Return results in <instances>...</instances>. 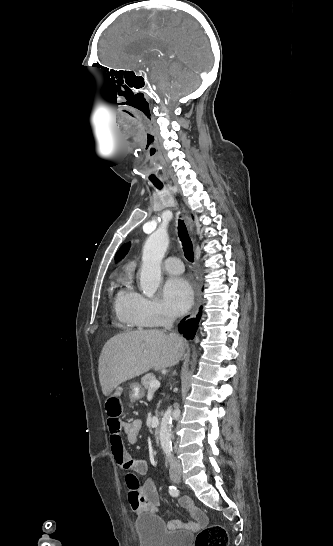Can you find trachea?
I'll return each mask as SVG.
<instances>
[{
  "instance_id": "trachea-1",
  "label": "trachea",
  "mask_w": 333,
  "mask_h": 546,
  "mask_svg": "<svg viewBox=\"0 0 333 546\" xmlns=\"http://www.w3.org/2000/svg\"><path fill=\"white\" fill-rule=\"evenodd\" d=\"M154 186L159 190L163 188V185L161 183H154ZM178 233H179L180 240L182 242L185 257L190 262H193L194 261L193 246H192L191 240L188 237L185 223L180 219L178 221Z\"/></svg>"
}]
</instances>
